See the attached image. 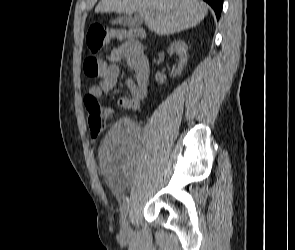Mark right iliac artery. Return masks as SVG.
<instances>
[{
	"label": "right iliac artery",
	"mask_w": 295,
	"mask_h": 250,
	"mask_svg": "<svg viewBox=\"0 0 295 250\" xmlns=\"http://www.w3.org/2000/svg\"><path fill=\"white\" fill-rule=\"evenodd\" d=\"M129 205H130V201H129V198L126 196V198L123 202V205H122V209H121V222H122V224L126 220V216L128 214V210H129Z\"/></svg>",
	"instance_id": "obj_1"
}]
</instances>
